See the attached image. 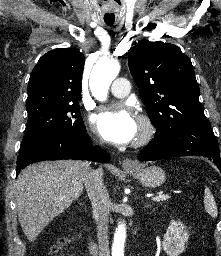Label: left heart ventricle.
<instances>
[{"mask_svg":"<svg viewBox=\"0 0 221 256\" xmlns=\"http://www.w3.org/2000/svg\"><path fill=\"white\" fill-rule=\"evenodd\" d=\"M140 129H141V127H140V124H139V133H140ZM139 133H138V134H139Z\"/></svg>","mask_w":221,"mask_h":256,"instance_id":"left-heart-ventricle-1","label":"left heart ventricle"}]
</instances>
